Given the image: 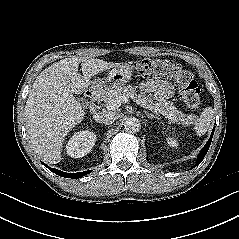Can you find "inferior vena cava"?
I'll list each match as a JSON object with an SVG mask.
<instances>
[{
  "mask_svg": "<svg viewBox=\"0 0 239 239\" xmlns=\"http://www.w3.org/2000/svg\"><path fill=\"white\" fill-rule=\"evenodd\" d=\"M94 120L103 124H112L116 119L117 116L113 112L108 113H98L93 116Z\"/></svg>",
  "mask_w": 239,
  "mask_h": 239,
  "instance_id": "602c4592",
  "label": "inferior vena cava"
}]
</instances>
